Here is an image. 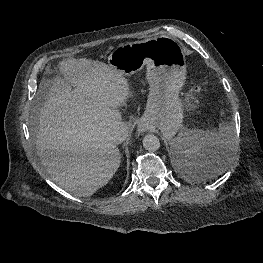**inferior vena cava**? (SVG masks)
Listing matches in <instances>:
<instances>
[{
    "label": "inferior vena cava",
    "mask_w": 263,
    "mask_h": 263,
    "mask_svg": "<svg viewBox=\"0 0 263 263\" xmlns=\"http://www.w3.org/2000/svg\"><path fill=\"white\" fill-rule=\"evenodd\" d=\"M128 137V128L124 123H117L112 131L111 139L116 143H122Z\"/></svg>",
    "instance_id": "1"
}]
</instances>
